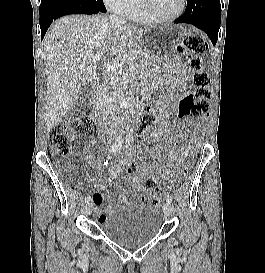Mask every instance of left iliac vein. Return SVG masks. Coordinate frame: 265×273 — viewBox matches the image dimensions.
<instances>
[{"label":"left iliac vein","instance_id":"1","mask_svg":"<svg viewBox=\"0 0 265 273\" xmlns=\"http://www.w3.org/2000/svg\"><path fill=\"white\" fill-rule=\"evenodd\" d=\"M163 211L166 216H169L172 213V206L170 203L166 202L163 205Z\"/></svg>","mask_w":265,"mask_h":273}]
</instances>
